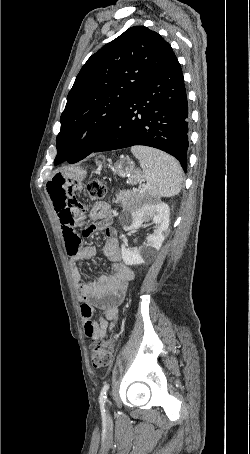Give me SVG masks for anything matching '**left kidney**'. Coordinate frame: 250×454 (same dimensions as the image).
<instances>
[{
	"instance_id": "left-kidney-1",
	"label": "left kidney",
	"mask_w": 250,
	"mask_h": 454,
	"mask_svg": "<svg viewBox=\"0 0 250 454\" xmlns=\"http://www.w3.org/2000/svg\"><path fill=\"white\" fill-rule=\"evenodd\" d=\"M169 206L165 203H146L135 209L131 213L130 225H124L125 231L133 230L145 226L147 222L152 221L154 232L146 238V243L135 250H130L121 245V255L126 265H136L145 262L146 258L153 257L162 246L165 239V233L169 227Z\"/></svg>"
}]
</instances>
